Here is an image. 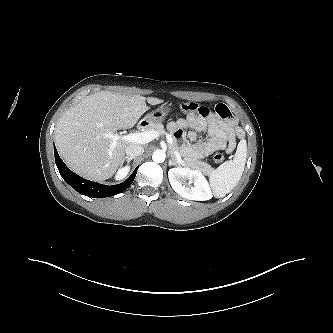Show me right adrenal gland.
Here are the masks:
<instances>
[{
    "label": "right adrenal gland",
    "mask_w": 333,
    "mask_h": 333,
    "mask_svg": "<svg viewBox=\"0 0 333 333\" xmlns=\"http://www.w3.org/2000/svg\"><path fill=\"white\" fill-rule=\"evenodd\" d=\"M135 157H128V156H126L125 158H124V161L126 160L127 161V164H129L130 162H131V160H133ZM123 161V162H124Z\"/></svg>",
    "instance_id": "1"
}]
</instances>
